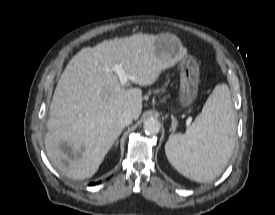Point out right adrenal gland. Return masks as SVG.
<instances>
[{"instance_id":"obj_1","label":"right adrenal gland","mask_w":275,"mask_h":215,"mask_svg":"<svg viewBox=\"0 0 275 215\" xmlns=\"http://www.w3.org/2000/svg\"><path fill=\"white\" fill-rule=\"evenodd\" d=\"M118 142H119V141L117 140V141H116V143H115V147H117V145H118Z\"/></svg>"}]
</instances>
